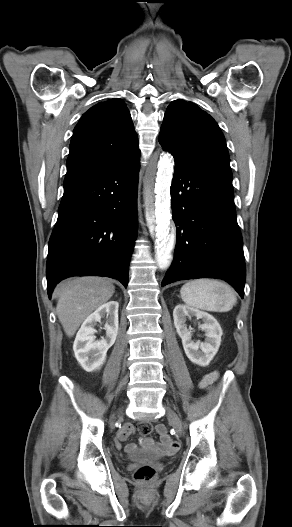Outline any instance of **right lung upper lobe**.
I'll return each mask as SVG.
<instances>
[{
    "instance_id": "1",
    "label": "right lung upper lobe",
    "mask_w": 292,
    "mask_h": 527,
    "mask_svg": "<svg viewBox=\"0 0 292 527\" xmlns=\"http://www.w3.org/2000/svg\"><path fill=\"white\" fill-rule=\"evenodd\" d=\"M140 154L128 108L120 99L100 102L76 125L67 169L110 165Z\"/></svg>"
}]
</instances>
